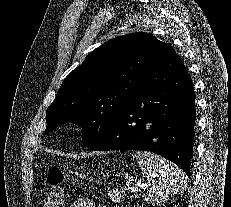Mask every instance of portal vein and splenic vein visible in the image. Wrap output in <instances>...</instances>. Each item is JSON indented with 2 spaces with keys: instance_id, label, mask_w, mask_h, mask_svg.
Masks as SVG:
<instances>
[{
  "instance_id": "18ae733b",
  "label": "portal vein and splenic vein",
  "mask_w": 231,
  "mask_h": 207,
  "mask_svg": "<svg viewBox=\"0 0 231 207\" xmlns=\"http://www.w3.org/2000/svg\"><path fill=\"white\" fill-rule=\"evenodd\" d=\"M144 186H145V185L132 186V187L130 188V191H131V192H135V191L138 190V187L143 188Z\"/></svg>"
}]
</instances>
